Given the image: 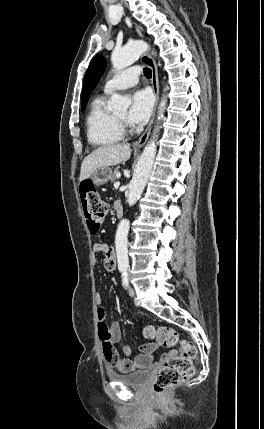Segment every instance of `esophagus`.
I'll use <instances>...</instances> for the list:
<instances>
[{"label": "esophagus", "instance_id": "34e87169", "mask_svg": "<svg viewBox=\"0 0 264 429\" xmlns=\"http://www.w3.org/2000/svg\"><path fill=\"white\" fill-rule=\"evenodd\" d=\"M136 31L141 36V31L139 30V28L136 27ZM141 59L151 69V72H152V87H153V92H154L155 98H156V104H155V109H154V112H153L152 119H151L148 127L146 128V130L142 134V136L139 138V140L134 143V146L137 147V148L142 147L146 143V141L148 140V138H149V135H150V132H151V128H152V124H153L154 117H155L156 107H157L158 100H159V81H158V73H157L156 63H155L154 59L148 53H144L142 55Z\"/></svg>", "mask_w": 264, "mask_h": 429}]
</instances>
